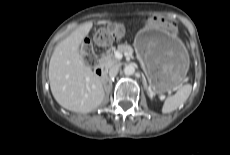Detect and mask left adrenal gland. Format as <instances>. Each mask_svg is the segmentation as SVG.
<instances>
[{
  "instance_id": "1",
  "label": "left adrenal gland",
  "mask_w": 230,
  "mask_h": 155,
  "mask_svg": "<svg viewBox=\"0 0 230 155\" xmlns=\"http://www.w3.org/2000/svg\"><path fill=\"white\" fill-rule=\"evenodd\" d=\"M143 83H144V86L147 88L146 79L144 78V76H143ZM147 94H148V96H150V97H151V95L149 94V92H148V91H147Z\"/></svg>"
}]
</instances>
